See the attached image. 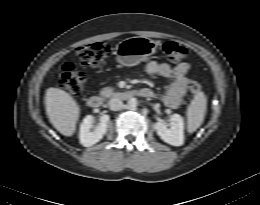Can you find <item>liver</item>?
I'll return each mask as SVG.
<instances>
[{"label":"liver","mask_w":260,"mask_h":205,"mask_svg":"<svg viewBox=\"0 0 260 205\" xmlns=\"http://www.w3.org/2000/svg\"><path fill=\"white\" fill-rule=\"evenodd\" d=\"M45 105L53 127L64 136H72L80 114V107L73 97L64 90L50 87L46 90Z\"/></svg>","instance_id":"6515ba94"}]
</instances>
